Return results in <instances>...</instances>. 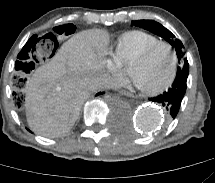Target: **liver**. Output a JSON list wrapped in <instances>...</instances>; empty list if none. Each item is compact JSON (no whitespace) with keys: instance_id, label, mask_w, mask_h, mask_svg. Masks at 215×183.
<instances>
[{"instance_id":"liver-1","label":"liver","mask_w":215,"mask_h":183,"mask_svg":"<svg viewBox=\"0 0 215 183\" xmlns=\"http://www.w3.org/2000/svg\"><path fill=\"white\" fill-rule=\"evenodd\" d=\"M107 32L85 30L66 41L26 82L25 108L30 129L44 137L67 134L92 91L88 83L103 75Z\"/></svg>"}]
</instances>
